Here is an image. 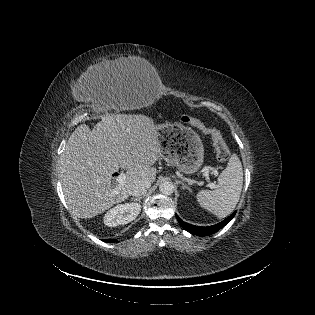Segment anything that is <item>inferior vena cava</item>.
Wrapping results in <instances>:
<instances>
[{
	"mask_svg": "<svg viewBox=\"0 0 315 315\" xmlns=\"http://www.w3.org/2000/svg\"><path fill=\"white\" fill-rule=\"evenodd\" d=\"M150 186H151V181L149 180L141 181L133 186L131 195L135 197L142 196L147 192Z\"/></svg>",
	"mask_w": 315,
	"mask_h": 315,
	"instance_id": "inferior-vena-cava-1",
	"label": "inferior vena cava"
}]
</instances>
